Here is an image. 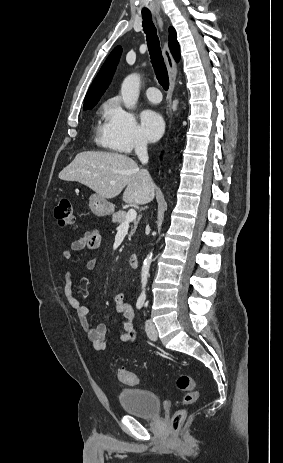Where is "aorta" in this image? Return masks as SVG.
<instances>
[{
  "label": "aorta",
  "instance_id": "762f6f07",
  "mask_svg": "<svg viewBox=\"0 0 283 463\" xmlns=\"http://www.w3.org/2000/svg\"><path fill=\"white\" fill-rule=\"evenodd\" d=\"M139 90H140V76L139 74L133 73L128 75L121 86V95L124 106L127 109H131L135 107L138 98H139ZM152 253L148 254L146 259L143 262L142 270H141V287L142 292L140 294L141 299L146 298V285L149 276L150 265L152 262Z\"/></svg>",
  "mask_w": 283,
  "mask_h": 463
}]
</instances>
